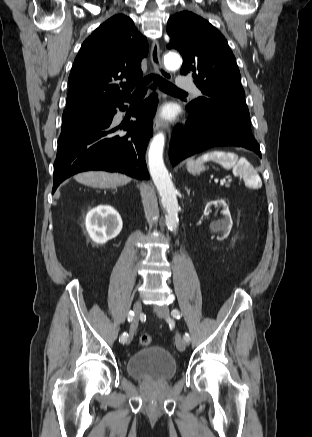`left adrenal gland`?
Returning a JSON list of instances; mask_svg holds the SVG:
<instances>
[{
    "instance_id": "1",
    "label": "left adrenal gland",
    "mask_w": 312,
    "mask_h": 437,
    "mask_svg": "<svg viewBox=\"0 0 312 437\" xmlns=\"http://www.w3.org/2000/svg\"><path fill=\"white\" fill-rule=\"evenodd\" d=\"M186 191H187V194L189 195L190 194V190L188 188H186Z\"/></svg>"
}]
</instances>
